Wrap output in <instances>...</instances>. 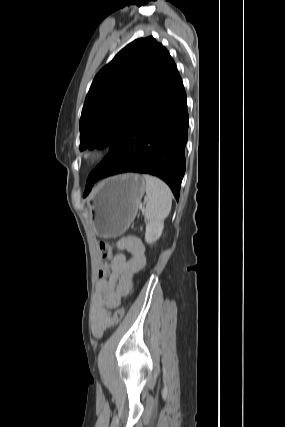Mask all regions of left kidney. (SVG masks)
Here are the masks:
<instances>
[{"instance_id": "obj_1", "label": "left kidney", "mask_w": 285, "mask_h": 427, "mask_svg": "<svg viewBox=\"0 0 285 427\" xmlns=\"http://www.w3.org/2000/svg\"><path fill=\"white\" fill-rule=\"evenodd\" d=\"M163 228L164 224L162 221L149 222L146 225L145 241L148 244H152L157 241L162 234Z\"/></svg>"}]
</instances>
